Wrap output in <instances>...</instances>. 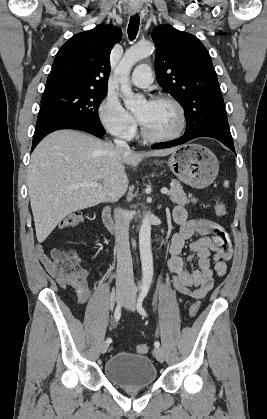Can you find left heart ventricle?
Returning a JSON list of instances; mask_svg holds the SVG:
<instances>
[{
  "mask_svg": "<svg viewBox=\"0 0 267 419\" xmlns=\"http://www.w3.org/2000/svg\"><path fill=\"white\" fill-rule=\"evenodd\" d=\"M135 112L146 130L153 135L171 134L179 124L178 111L169 102L145 101Z\"/></svg>",
  "mask_w": 267,
  "mask_h": 419,
  "instance_id": "obj_1",
  "label": "left heart ventricle"
}]
</instances>
